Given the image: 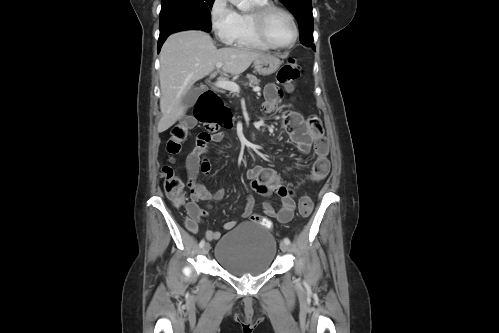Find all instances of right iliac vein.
Returning <instances> with one entry per match:
<instances>
[{"label": "right iliac vein", "instance_id": "obj_1", "mask_svg": "<svg viewBox=\"0 0 499 333\" xmlns=\"http://www.w3.org/2000/svg\"><path fill=\"white\" fill-rule=\"evenodd\" d=\"M209 250H210V244L209 243L204 244V246L202 247V253L206 255L209 253Z\"/></svg>", "mask_w": 499, "mask_h": 333}]
</instances>
